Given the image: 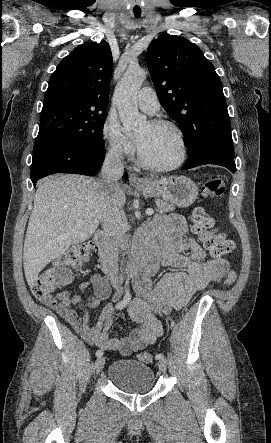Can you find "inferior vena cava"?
<instances>
[{
	"instance_id": "obj_1",
	"label": "inferior vena cava",
	"mask_w": 271,
	"mask_h": 443,
	"mask_svg": "<svg viewBox=\"0 0 271 443\" xmlns=\"http://www.w3.org/2000/svg\"><path fill=\"white\" fill-rule=\"evenodd\" d=\"M121 158V148H112V150H110L104 160L100 180H98L96 184V188H98L99 192H102L103 196L107 198L112 210H115L112 200L114 196H112V194H114L116 190H120L118 180H121L124 172ZM117 218H119V220H117ZM103 227L105 231L110 233L111 237L107 251H105L104 255L101 257L102 271L109 275L111 283H119V243L126 231V227L123 225L122 216H114L111 220H104ZM113 287L114 289H119L118 284H113Z\"/></svg>"
}]
</instances>
